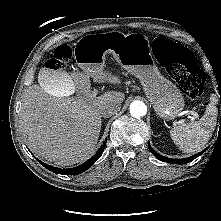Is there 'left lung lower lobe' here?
I'll return each mask as SVG.
<instances>
[{
    "mask_svg": "<svg viewBox=\"0 0 221 221\" xmlns=\"http://www.w3.org/2000/svg\"><path fill=\"white\" fill-rule=\"evenodd\" d=\"M148 148H149V150L152 152V154H154V156H155L157 159H159V160H161V161H163V162L173 163V164H186V163H189V162L193 161L195 158H197L198 156H200L201 154H203V153L206 151V149H207V148H206V149L203 150L202 152H200V153H198V154H195V155H193V156H191V157H189V158H184V159H171V158H167V157L161 156V155H159L158 153H156V152L152 149V147L150 146L149 142H148Z\"/></svg>",
    "mask_w": 221,
    "mask_h": 221,
    "instance_id": "1",
    "label": "left lung lower lobe"
}]
</instances>
